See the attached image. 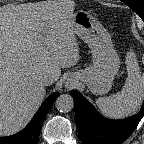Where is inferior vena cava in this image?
<instances>
[{
    "label": "inferior vena cava",
    "mask_w": 144,
    "mask_h": 144,
    "mask_svg": "<svg viewBox=\"0 0 144 144\" xmlns=\"http://www.w3.org/2000/svg\"><path fill=\"white\" fill-rule=\"evenodd\" d=\"M53 82H55V79L50 75H46L41 79L40 84L42 86H48L51 85Z\"/></svg>",
    "instance_id": "obj_1"
}]
</instances>
